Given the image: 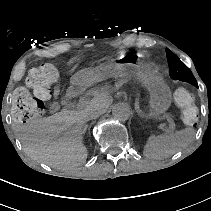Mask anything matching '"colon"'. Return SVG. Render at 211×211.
Masks as SVG:
<instances>
[{
    "instance_id": "colon-1",
    "label": "colon",
    "mask_w": 211,
    "mask_h": 211,
    "mask_svg": "<svg viewBox=\"0 0 211 211\" xmlns=\"http://www.w3.org/2000/svg\"><path fill=\"white\" fill-rule=\"evenodd\" d=\"M59 77L55 65L47 63L30 70L26 78L27 88H18L13 94L12 117L18 123H28L44 113V101L52 95L53 85ZM174 99L181 110L186 125L194 126L198 121V108L194 95L185 88H178Z\"/></svg>"
}]
</instances>
